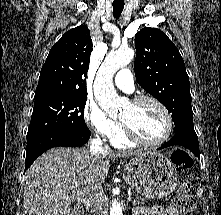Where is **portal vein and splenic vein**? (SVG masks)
<instances>
[{
    "label": "portal vein and splenic vein",
    "mask_w": 221,
    "mask_h": 215,
    "mask_svg": "<svg viewBox=\"0 0 221 215\" xmlns=\"http://www.w3.org/2000/svg\"><path fill=\"white\" fill-rule=\"evenodd\" d=\"M69 199L78 200V201L82 202L83 204L89 205V200L87 198L82 197V196H72ZM128 199L131 200L132 197L129 195Z\"/></svg>",
    "instance_id": "18ae733b"
}]
</instances>
